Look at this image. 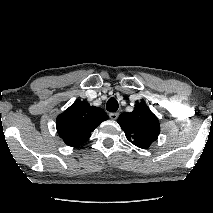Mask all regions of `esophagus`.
Here are the masks:
<instances>
[{
  "instance_id": "34e87169",
  "label": "esophagus",
  "mask_w": 213,
  "mask_h": 213,
  "mask_svg": "<svg viewBox=\"0 0 213 213\" xmlns=\"http://www.w3.org/2000/svg\"><path fill=\"white\" fill-rule=\"evenodd\" d=\"M119 116V113L117 112H112V113H109V117L112 119V120H116Z\"/></svg>"
}]
</instances>
